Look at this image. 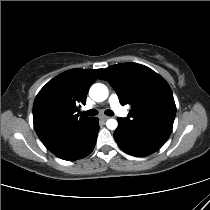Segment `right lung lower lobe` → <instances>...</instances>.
Segmentation results:
<instances>
[{
    "label": "right lung lower lobe",
    "instance_id": "right-lung-lower-lobe-1",
    "mask_svg": "<svg viewBox=\"0 0 210 210\" xmlns=\"http://www.w3.org/2000/svg\"><path fill=\"white\" fill-rule=\"evenodd\" d=\"M98 121V118L92 117L87 124L69 132L48 149L63 160L74 161L86 157L95 147L99 131Z\"/></svg>",
    "mask_w": 210,
    "mask_h": 210
}]
</instances>
